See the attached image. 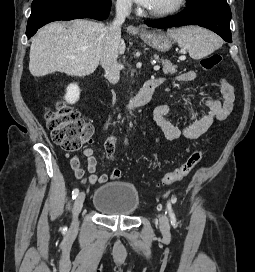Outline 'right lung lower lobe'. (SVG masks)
Wrapping results in <instances>:
<instances>
[{"label": "right lung lower lobe", "mask_w": 255, "mask_h": 272, "mask_svg": "<svg viewBox=\"0 0 255 272\" xmlns=\"http://www.w3.org/2000/svg\"><path fill=\"white\" fill-rule=\"evenodd\" d=\"M111 0H33L26 29L30 39L39 28L57 20L108 17Z\"/></svg>", "instance_id": "98d812e1"}]
</instances>
